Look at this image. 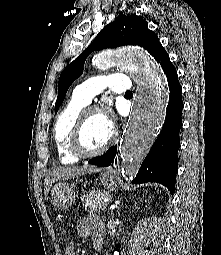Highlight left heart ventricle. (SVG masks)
<instances>
[{
  "mask_svg": "<svg viewBox=\"0 0 221 255\" xmlns=\"http://www.w3.org/2000/svg\"><path fill=\"white\" fill-rule=\"evenodd\" d=\"M110 125L104 116L92 114L88 117L83 128V145L87 150L100 148L108 139Z\"/></svg>",
  "mask_w": 221,
  "mask_h": 255,
  "instance_id": "obj_1",
  "label": "left heart ventricle"
}]
</instances>
